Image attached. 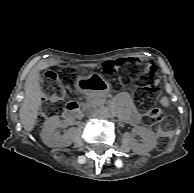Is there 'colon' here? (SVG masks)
<instances>
[{
	"label": "colon",
	"instance_id": "colon-1",
	"mask_svg": "<svg viewBox=\"0 0 194 193\" xmlns=\"http://www.w3.org/2000/svg\"><path fill=\"white\" fill-rule=\"evenodd\" d=\"M105 74L114 76L121 72L124 81L138 80L137 102L142 110L148 112L152 123L156 126L160 136V144L163 145L174 133V119L166 116L161 109L154 107L158 97V85L156 77L157 68L154 65L144 66L140 61L134 59H118L107 61L103 64ZM74 70L64 68L59 73L47 72L44 74L43 92L44 104L42 113L37 117L38 123H43L46 115H51L60 110L67 96L66 88L72 82ZM150 81V83H147Z\"/></svg>",
	"mask_w": 194,
	"mask_h": 193
}]
</instances>
